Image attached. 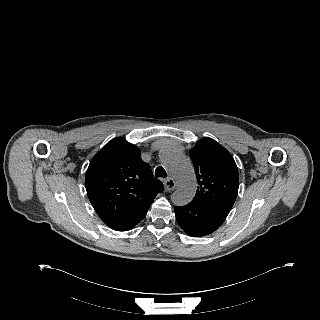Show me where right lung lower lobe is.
I'll list each match as a JSON object with an SVG mask.
<instances>
[{"instance_id":"obj_1","label":"right lung lower lobe","mask_w":320,"mask_h":320,"mask_svg":"<svg viewBox=\"0 0 320 320\" xmlns=\"http://www.w3.org/2000/svg\"><path fill=\"white\" fill-rule=\"evenodd\" d=\"M146 213L147 211H144L125 219L109 221L106 225L116 231H127L138 224L145 217Z\"/></svg>"}]
</instances>
